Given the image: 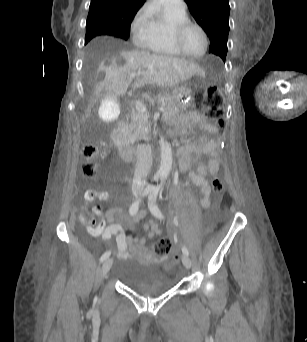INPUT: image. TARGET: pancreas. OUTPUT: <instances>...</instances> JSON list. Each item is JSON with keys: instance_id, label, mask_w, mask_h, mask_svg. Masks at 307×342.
<instances>
[{"instance_id": "cf45deb5", "label": "pancreas", "mask_w": 307, "mask_h": 342, "mask_svg": "<svg viewBox=\"0 0 307 342\" xmlns=\"http://www.w3.org/2000/svg\"><path fill=\"white\" fill-rule=\"evenodd\" d=\"M173 96L165 97L162 96L160 100H157L156 104H158L159 108H164L163 116L164 118H174V116H179L180 112L177 110V108H172V106H169V104H172L173 102ZM133 116L131 118L132 124L134 122H147V116H144V114H138V112H132ZM142 132V130H141Z\"/></svg>"}]
</instances>
